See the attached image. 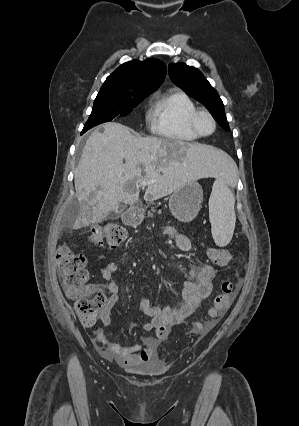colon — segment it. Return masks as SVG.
I'll return each instance as SVG.
<instances>
[{
    "instance_id": "1",
    "label": "colon",
    "mask_w": 299,
    "mask_h": 426,
    "mask_svg": "<svg viewBox=\"0 0 299 426\" xmlns=\"http://www.w3.org/2000/svg\"><path fill=\"white\" fill-rule=\"evenodd\" d=\"M125 237L124 228L116 224L96 227L90 233V240L94 244H107L112 247L119 245ZM207 256L218 266H226L233 260V255L229 250L217 247L208 248ZM57 265L64 292L67 297L76 301V311L81 322L87 327L94 325L98 313L107 303V299L103 293L88 284L85 257L64 246L57 252ZM236 290L237 285L233 281H223L220 291L214 297L213 304L208 311V319L197 322L191 329V333L204 335L210 331L216 321L231 306Z\"/></svg>"
}]
</instances>
